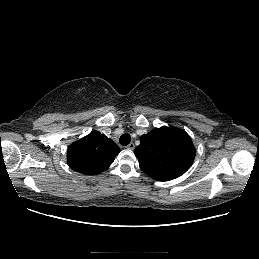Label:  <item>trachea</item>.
<instances>
[{"mask_svg":"<svg viewBox=\"0 0 259 259\" xmlns=\"http://www.w3.org/2000/svg\"><path fill=\"white\" fill-rule=\"evenodd\" d=\"M130 141H131V136L129 134H123L119 139L120 144L123 146L128 145Z\"/></svg>","mask_w":259,"mask_h":259,"instance_id":"3493384b","label":"trachea"}]
</instances>
